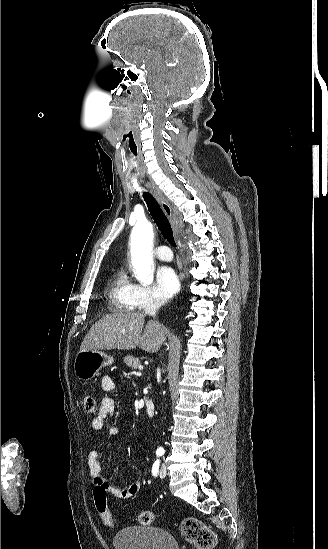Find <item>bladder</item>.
I'll return each mask as SVG.
<instances>
[{"label":"bladder","instance_id":"31cf9c89","mask_svg":"<svg viewBox=\"0 0 328 549\" xmlns=\"http://www.w3.org/2000/svg\"><path fill=\"white\" fill-rule=\"evenodd\" d=\"M116 549H177L171 533L151 527L124 528L114 536Z\"/></svg>","mask_w":328,"mask_h":549}]
</instances>
